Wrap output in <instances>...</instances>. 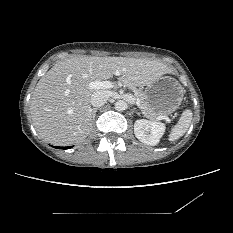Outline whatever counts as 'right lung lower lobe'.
I'll return each mask as SVG.
<instances>
[{"instance_id": "1", "label": "right lung lower lobe", "mask_w": 233, "mask_h": 233, "mask_svg": "<svg viewBox=\"0 0 233 233\" xmlns=\"http://www.w3.org/2000/svg\"><path fill=\"white\" fill-rule=\"evenodd\" d=\"M56 148H61V147H56ZM64 149H69V148H71V146L70 147H63Z\"/></svg>"}]
</instances>
